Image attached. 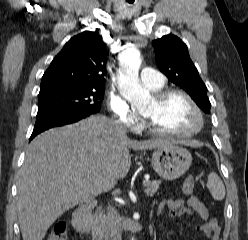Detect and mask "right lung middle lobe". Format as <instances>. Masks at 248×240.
<instances>
[{
  "label": "right lung middle lobe",
  "mask_w": 248,
  "mask_h": 240,
  "mask_svg": "<svg viewBox=\"0 0 248 240\" xmlns=\"http://www.w3.org/2000/svg\"><path fill=\"white\" fill-rule=\"evenodd\" d=\"M104 89H70L38 96V112L64 111L94 114L100 111Z\"/></svg>",
  "instance_id": "dd1d6c3e"
}]
</instances>
